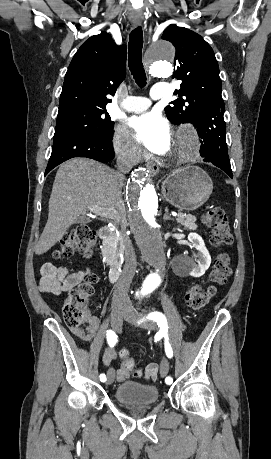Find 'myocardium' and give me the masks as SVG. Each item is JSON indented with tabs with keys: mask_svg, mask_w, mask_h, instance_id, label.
Listing matches in <instances>:
<instances>
[{
	"mask_svg": "<svg viewBox=\"0 0 271 459\" xmlns=\"http://www.w3.org/2000/svg\"><path fill=\"white\" fill-rule=\"evenodd\" d=\"M175 151L174 144H170L169 148L163 153L164 156H171Z\"/></svg>",
	"mask_w": 271,
	"mask_h": 459,
	"instance_id": "f54148a6",
	"label": "myocardium"
}]
</instances>
